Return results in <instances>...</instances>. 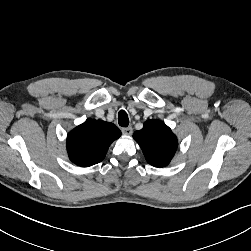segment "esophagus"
<instances>
[{"mask_svg":"<svg viewBox=\"0 0 251 251\" xmlns=\"http://www.w3.org/2000/svg\"><path fill=\"white\" fill-rule=\"evenodd\" d=\"M132 132H133L132 127L122 128V133H123L124 135H131Z\"/></svg>","mask_w":251,"mask_h":251,"instance_id":"34e87169","label":"esophagus"}]
</instances>
